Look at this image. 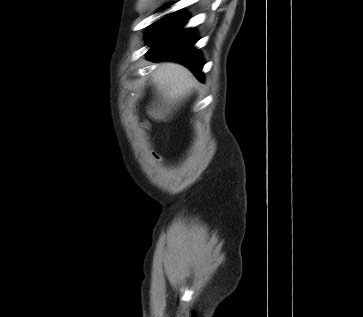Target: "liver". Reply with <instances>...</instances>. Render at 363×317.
<instances>
[{"label": "liver", "instance_id": "liver-1", "mask_svg": "<svg viewBox=\"0 0 363 317\" xmlns=\"http://www.w3.org/2000/svg\"><path fill=\"white\" fill-rule=\"evenodd\" d=\"M153 79L157 92L166 106L165 112H162L163 104L160 109L149 112L155 119H164L165 113H168L170 107L186 98L196 84L195 78L186 67L173 62L161 63L155 71Z\"/></svg>", "mask_w": 363, "mask_h": 317}]
</instances>
